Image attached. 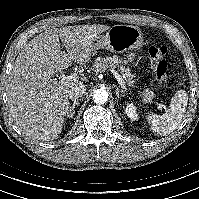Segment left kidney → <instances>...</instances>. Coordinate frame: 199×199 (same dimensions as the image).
Instances as JSON below:
<instances>
[{"label": "left kidney", "mask_w": 199, "mask_h": 199, "mask_svg": "<svg viewBox=\"0 0 199 199\" xmlns=\"http://www.w3.org/2000/svg\"><path fill=\"white\" fill-rule=\"evenodd\" d=\"M127 116L130 118V120L135 121L138 120V114L136 113V107L133 105V103L128 104L125 110Z\"/></svg>", "instance_id": "5707ae66"}]
</instances>
